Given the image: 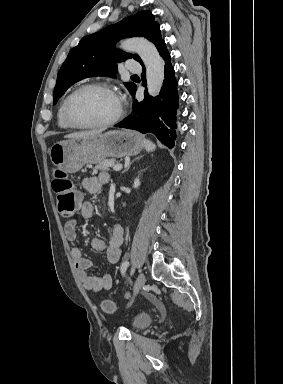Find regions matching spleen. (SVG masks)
Segmentation results:
<instances>
[{
  "label": "spleen",
  "instance_id": "obj_1",
  "mask_svg": "<svg viewBox=\"0 0 283 384\" xmlns=\"http://www.w3.org/2000/svg\"><path fill=\"white\" fill-rule=\"evenodd\" d=\"M144 144L146 152H154V150H156L155 144H153V142H150V140H145Z\"/></svg>",
  "mask_w": 283,
  "mask_h": 384
}]
</instances>
